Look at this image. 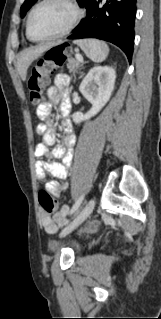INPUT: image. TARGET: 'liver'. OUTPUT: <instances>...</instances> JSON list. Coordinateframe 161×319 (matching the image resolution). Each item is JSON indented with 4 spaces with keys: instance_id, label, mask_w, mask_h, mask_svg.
<instances>
[{
    "instance_id": "liver-1",
    "label": "liver",
    "mask_w": 161,
    "mask_h": 319,
    "mask_svg": "<svg viewBox=\"0 0 161 319\" xmlns=\"http://www.w3.org/2000/svg\"><path fill=\"white\" fill-rule=\"evenodd\" d=\"M50 45H40L34 48L25 49L18 55L17 60V70L19 75L23 81L26 80L27 77V70L31 63L37 59L41 54L46 51Z\"/></svg>"
}]
</instances>
